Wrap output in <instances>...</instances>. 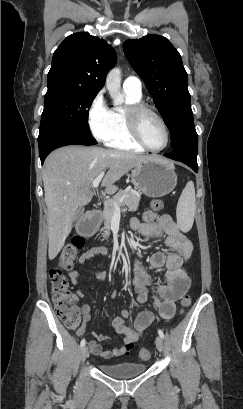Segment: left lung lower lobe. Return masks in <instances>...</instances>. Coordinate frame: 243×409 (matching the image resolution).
Segmentation results:
<instances>
[{
	"label": "left lung lower lobe",
	"instance_id": "1",
	"mask_svg": "<svg viewBox=\"0 0 243 409\" xmlns=\"http://www.w3.org/2000/svg\"><path fill=\"white\" fill-rule=\"evenodd\" d=\"M185 141L180 144V147L174 148L170 153L164 154V156L176 161H181L191 167L195 172L198 171L197 157L190 155L185 146L189 142H196L198 144V136L195 130L194 124L187 127V132L184 135Z\"/></svg>",
	"mask_w": 243,
	"mask_h": 409
}]
</instances>
